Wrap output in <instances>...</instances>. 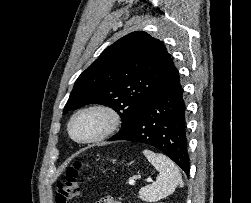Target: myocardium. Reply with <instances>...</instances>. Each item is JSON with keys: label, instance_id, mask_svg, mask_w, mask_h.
Masks as SVG:
<instances>
[{"label": "myocardium", "instance_id": "myocardium-1", "mask_svg": "<svg viewBox=\"0 0 251 203\" xmlns=\"http://www.w3.org/2000/svg\"><path fill=\"white\" fill-rule=\"evenodd\" d=\"M86 113H96V114L101 115L104 119V125L102 129L95 135L86 139H79L73 133V123L79 116ZM120 124H121V117L114 108L105 104L95 103V104H90V105H87L78 109L71 116L68 122V133L71 139L74 140L75 142L81 143V144H89V143L102 141L112 136L116 132V130L119 128Z\"/></svg>", "mask_w": 251, "mask_h": 203}]
</instances>
